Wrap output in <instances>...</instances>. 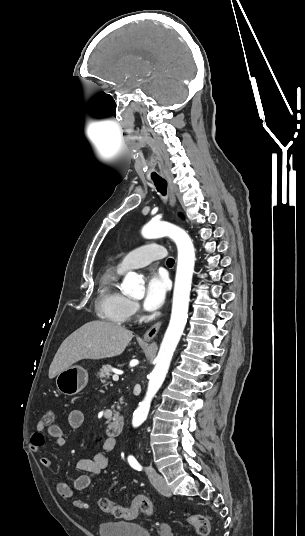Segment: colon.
Masks as SVG:
<instances>
[{
    "instance_id": "colon-1",
    "label": "colon",
    "mask_w": 305,
    "mask_h": 536,
    "mask_svg": "<svg viewBox=\"0 0 305 536\" xmlns=\"http://www.w3.org/2000/svg\"><path fill=\"white\" fill-rule=\"evenodd\" d=\"M53 421L54 417L52 411L44 415L43 422L45 424L51 425L53 424ZM73 506L81 513L87 511V504L81 502L78 498L73 500ZM99 508L103 513L112 514L118 519L134 518L138 513H143L148 516L155 515V508L153 504L143 494H136L131 503L127 506L116 504L109 498H102L99 502ZM186 522L193 525L196 536H208L210 533V523L208 518L202 515H188L186 517Z\"/></svg>"
}]
</instances>
